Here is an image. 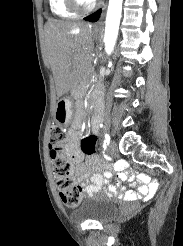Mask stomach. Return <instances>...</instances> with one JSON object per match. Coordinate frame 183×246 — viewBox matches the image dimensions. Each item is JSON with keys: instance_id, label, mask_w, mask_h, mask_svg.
<instances>
[{"instance_id": "0dacf381", "label": "stomach", "mask_w": 183, "mask_h": 246, "mask_svg": "<svg viewBox=\"0 0 183 246\" xmlns=\"http://www.w3.org/2000/svg\"><path fill=\"white\" fill-rule=\"evenodd\" d=\"M72 101L69 98H62L57 103L55 111V122L60 126H66L72 116Z\"/></svg>"}]
</instances>
